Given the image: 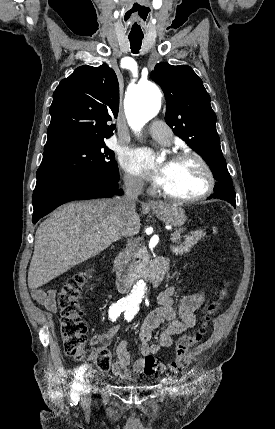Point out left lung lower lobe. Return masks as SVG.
<instances>
[{
  "label": "left lung lower lobe",
  "instance_id": "left-lung-lower-lobe-1",
  "mask_svg": "<svg viewBox=\"0 0 275 429\" xmlns=\"http://www.w3.org/2000/svg\"><path fill=\"white\" fill-rule=\"evenodd\" d=\"M210 198H218V199L225 200V201L231 203L233 207H236L235 206L236 202H235V200H233V199L230 198V195L223 194L221 192H215L211 197H209V199Z\"/></svg>",
  "mask_w": 275,
  "mask_h": 429
}]
</instances>
